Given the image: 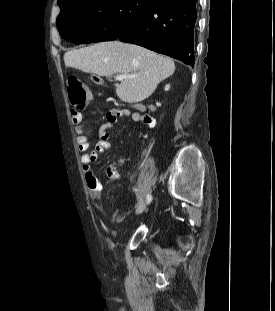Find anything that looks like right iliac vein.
Instances as JSON below:
<instances>
[{
    "instance_id": "right-iliac-vein-1",
    "label": "right iliac vein",
    "mask_w": 275,
    "mask_h": 311,
    "mask_svg": "<svg viewBox=\"0 0 275 311\" xmlns=\"http://www.w3.org/2000/svg\"><path fill=\"white\" fill-rule=\"evenodd\" d=\"M145 207H146V204H145L144 202H142V203L138 206V208H137V210H136V214H137V215H138V214H141V213L144 211Z\"/></svg>"
}]
</instances>
